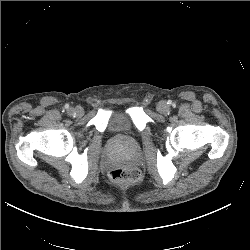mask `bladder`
<instances>
[{
    "label": "bladder",
    "instance_id": "obj_1",
    "mask_svg": "<svg viewBox=\"0 0 250 250\" xmlns=\"http://www.w3.org/2000/svg\"><path fill=\"white\" fill-rule=\"evenodd\" d=\"M131 121L129 116L125 112L114 113L110 116L107 124V128L110 131L116 132L130 127Z\"/></svg>",
    "mask_w": 250,
    "mask_h": 250
}]
</instances>
